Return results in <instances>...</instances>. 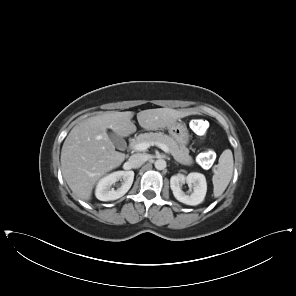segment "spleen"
<instances>
[{"instance_id":"obj_1","label":"spleen","mask_w":296,"mask_h":296,"mask_svg":"<svg viewBox=\"0 0 296 296\" xmlns=\"http://www.w3.org/2000/svg\"><path fill=\"white\" fill-rule=\"evenodd\" d=\"M233 154L230 149H226L220 155L217 168L214 169L212 177L214 197H219L227 188L233 174Z\"/></svg>"}]
</instances>
